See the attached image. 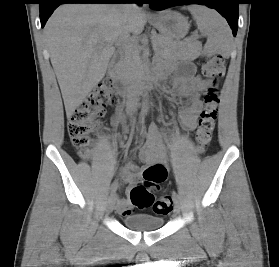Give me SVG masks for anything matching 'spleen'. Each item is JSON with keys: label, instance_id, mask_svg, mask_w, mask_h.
I'll list each match as a JSON object with an SVG mask.
<instances>
[{"label": "spleen", "instance_id": "obj_1", "mask_svg": "<svg viewBox=\"0 0 279 267\" xmlns=\"http://www.w3.org/2000/svg\"><path fill=\"white\" fill-rule=\"evenodd\" d=\"M188 10L192 13L200 32L207 36L203 53H218L228 57L232 35L225 19L217 11L201 5H192Z\"/></svg>", "mask_w": 279, "mask_h": 267}]
</instances>
